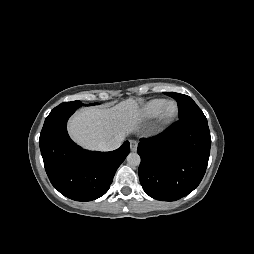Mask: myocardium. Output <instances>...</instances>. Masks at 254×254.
<instances>
[{
	"label": "myocardium",
	"instance_id": "1",
	"mask_svg": "<svg viewBox=\"0 0 254 254\" xmlns=\"http://www.w3.org/2000/svg\"><path fill=\"white\" fill-rule=\"evenodd\" d=\"M173 107V110L170 111V108ZM179 108L178 104L175 101H168L163 106L161 112L159 113V121L163 125L171 123L178 115Z\"/></svg>",
	"mask_w": 254,
	"mask_h": 254
}]
</instances>
